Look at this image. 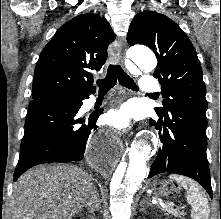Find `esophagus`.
<instances>
[{
	"label": "esophagus",
	"instance_id": "esophagus-1",
	"mask_svg": "<svg viewBox=\"0 0 221 219\" xmlns=\"http://www.w3.org/2000/svg\"><path fill=\"white\" fill-rule=\"evenodd\" d=\"M122 41L118 38L110 45V59L114 62L123 63Z\"/></svg>",
	"mask_w": 221,
	"mask_h": 219
}]
</instances>
